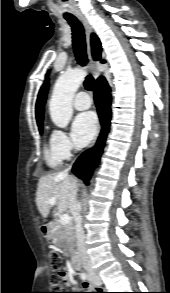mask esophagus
<instances>
[{"mask_svg": "<svg viewBox=\"0 0 170 293\" xmlns=\"http://www.w3.org/2000/svg\"><path fill=\"white\" fill-rule=\"evenodd\" d=\"M78 19L82 22L84 29H85L89 67H90L92 75L96 79L101 72V68H100L101 64L98 61H95L92 57V54H91L90 35H91L93 29H92V26L90 25V23L88 22V20L84 16L79 15ZM96 139L91 144V147L94 146Z\"/></svg>", "mask_w": 170, "mask_h": 293, "instance_id": "obj_1", "label": "esophagus"}]
</instances>
